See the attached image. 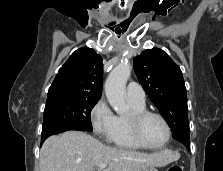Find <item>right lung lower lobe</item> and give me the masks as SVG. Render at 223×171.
Here are the masks:
<instances>
[{"mask_svg":"<svg viewBox=\"0 0 223 171\" xmlns=\"http://www.w3.org/2000/svg\"><path fill=\"white\" fill-rule=\"evenodd\" d=\"M68 130H77V131H86L84 130L83 128L81 127H78V126H74V125H65V126H61V127H58L56 129H54L53 131H51L49 134H47L46 136L42 137L41 138V144L44 142V140L46 138H48L49 136L51 135H54V134H58V133H62V132H65V131H68Z\"/></svg>","mask_w":223,"mask_h":171,"instance_id":"obj_1","label":"right lung lower lobe"}]
</instances>
